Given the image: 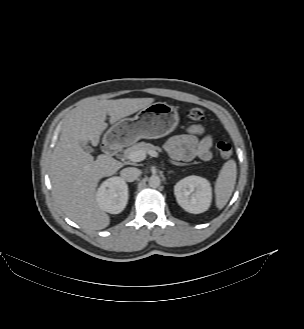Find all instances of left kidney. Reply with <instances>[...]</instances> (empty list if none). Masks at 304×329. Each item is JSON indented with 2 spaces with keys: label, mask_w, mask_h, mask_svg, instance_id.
Returning <instances> with one entry per match:
<instances>
[{
  "label": "left kidney",
  "mask_w": 304,
  "mask_h": 329,
  "mask_svg": "<svg viewBox=\"0 0 304 329\" xmlns=\"http://www.w3.org/2000/svg\"><path fill=\"white\" fill-rule=\"evenodd\" d=\"M178 204L187 212L199 214L208 210L212 201L210 182L199 176H188L174 186Z\"/></svg>",
  "instance_id": "5707ae66"
}]
</instances>
